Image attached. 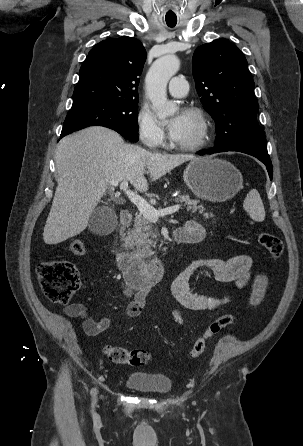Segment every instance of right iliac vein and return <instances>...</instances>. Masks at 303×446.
I'll use <instances>...</instances> for the list:
<instances>
[{
	"instance_id": "right-iliac-vein-1",
	"label": "right iliac vein",
	"mask_w": 303,
	"mask_h": 446,
	"mask_svg": "<svg viewBox=\"0 0 303 446\" xmlns=\"http://www.w3.org/2000/svg\"><path fill=\"white\" fill-rule=\"evenodd\" d=\"M96 391L93 392L94 400H96Z\"/></svg>"
}]
</instances>
